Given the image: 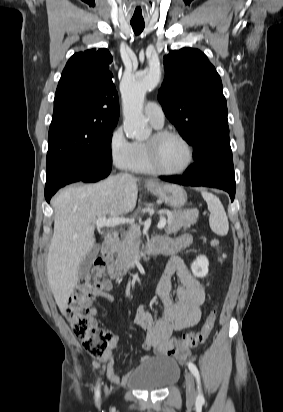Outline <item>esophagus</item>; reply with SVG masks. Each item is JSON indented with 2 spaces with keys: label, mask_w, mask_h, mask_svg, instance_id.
<instances>
[{
  "label": "esophagus",
  "mask_w": 283,
  "mask_h": 412,
  "mask_svg": "<svg viewBox=\"0 0 283 412\" xmlns=\"http://www.w3.org/2000/svg\"><path fill=\"white\" fill-rule=\"evenodd\" d=\"M145 184H146L147 186H152V185H155L156 182H155V180H153V179H147V180L145 181Z\"/></svg>",
  "instance_id": "34e87169"
}]
</instances>
